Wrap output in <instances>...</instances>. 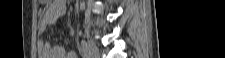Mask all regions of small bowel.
<instances>
[{
  "label": "small bowel",
  "instance_id": "1",
  "mask_svg": "<svg viewBox=\"0 0 225 58\" xmlns=\"http://www.w3.org/2000/svg\"><path fill=\"white\" fill-rule=\"evenodd\" d=\"M65 1L53 0L50 1L40 11L39 24H38V52L40 58H76L75 52L66 53L65 49L58 45L44 43L42 35L49 26L56 23L57 20L65 13Z\"/></svg>",
  "mask_w": 225,
  "mask_h": 58
}]
</instances>
